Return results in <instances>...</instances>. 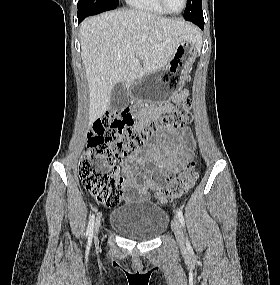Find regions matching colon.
<instances>
[{"mask_svg":"<svg viewBox=\"0 0 280 285\" xmlns=\"http://www.w3.org/2000/svg\"><path fill=\"white\" fill-rule=\"evenodd\" d=\"M191 118L192 105L188 100L162 113L138 132L132 131L134 118L128 108L106 113L89 132L87 151L79 165L85 189L101 203L116 205L122 195L123 182L117 176L114 158L131 160L158 133L181 129ZM197 177L196 162L190 161L159 190L158 200L169 202L180 197L194 185Z\"/></svg>","mask_w":280,"mask_h":285,"instance_id":"5ec220e1","label":"colon"}]
</instances>
